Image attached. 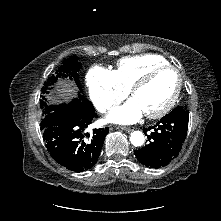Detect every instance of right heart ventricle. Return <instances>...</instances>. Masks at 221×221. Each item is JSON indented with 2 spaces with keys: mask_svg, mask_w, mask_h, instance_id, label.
I'll use <instances>...</instances> for the list:
<instances>
[{
  "mask_svg": "<svg viewBox=\"0 0 221 221\" xmlns=\"http://www.w3.org/2000/svg\"><path fill=\"white\" fill-rule=\"evenodd\" d=\"M168 64V61L160 55L143 54L126 57L117 62L113 70L121 85L130 90L133 84L150 68Z\"/></svg>",
  "mask_w": 221,
  "mask_h": 221,
  "instance_id": "right-heart-ventricle-1",
  "label": "right heart ventricle"
}]
</instances>
